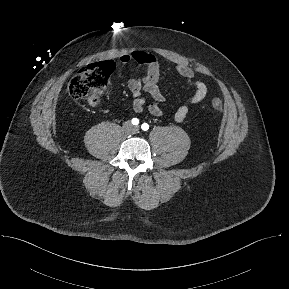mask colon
Here are the masks:
<instances>
[{
    "instance_id": "obj_1",
    "label": "colon",
    "mask_w": 289,
    "mask_h": 289,
    "mask_svg": "<svg viewBox=\"0 0 289 289\" xmlns=\"http://www.w3.org/2000/svg\"><path fill=\"white\" fill-rule=\"evenodd\" d=\"M114 70L112 62H100L82 68L68 82L66 90L73 99H84L92 107L98 105L100 97L110 90V76ZM212 107L221 111L223 102L212 99Z\"/></svg>"
}]
</instances>
